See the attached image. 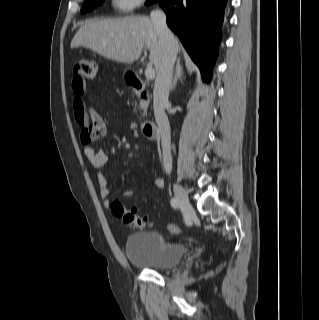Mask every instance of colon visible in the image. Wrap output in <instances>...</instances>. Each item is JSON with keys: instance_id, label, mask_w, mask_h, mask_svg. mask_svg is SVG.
I'll use <instances>...</instances> for the list:
<instances>
[{"instance_id": "colon-1", "label": "colon", "mask_w": 319, "mask_h": 320, "mask_svg": "<svg viewBox=\"0 0 319 320\" xmlns=\"http://www.w3.org/2000/svg\"><path fill=\"white\" fill-rule=\"evenodd\" d=\"M75 80L78 84L83 85L87 81H92L97 75V63L92 59H82L74 67ZM76 121L79 125V134L82 143H90L94 140L90 124L87 123L82 113L75 114ZM111 211L117 217L121 218L123 224L129 228L144 229L150 226L148 218L138 215L133 210H128L121 202H114L111 205ZM167 230L170 233H180L181 229L175 224H168Z\"/></svg>"}]
</instances>
